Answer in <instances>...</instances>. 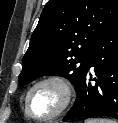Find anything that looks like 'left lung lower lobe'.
<instances>
[{"instance_id":"obj_1","label":"left lung lower lobe","mask_w":118,"mask_h":123,"mask_svg":"<svg viewBox=\"0 0 118 123\" xmlns=\"http://www.w3.org/2000/svg\"><path fill=\"white\" fill-rule=\"evenodd\" d=\"M76 94L63 121L87 116L118 119V19L95 43Z\"/></svg>"}]
</instances>
